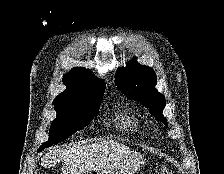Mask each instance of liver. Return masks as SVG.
Here are the masks:
<instances>
[{"label": "liver", "mask_w": 224, "mask_h": 174, "mask_svg": "<svg viewBox=\"0 0 224 174\" xmlns=\"http://www.w3.org/2000/svg\"><path fill=\"white\" fill-rule=\"evenodd\" d=\"M130 152L129 147L114 141L78 143L66 148L52 147L41 159V165L51 168L63 161V174H86L92 170L102 169Z\"/></svg>", "instance_id": "obj_1"}]
</instances>
